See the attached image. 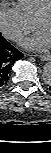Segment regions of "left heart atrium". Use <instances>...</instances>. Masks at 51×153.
<instances>
[{
  "label": "left heart atrium",
  "mask_w": 51,
  "mask_h": 153,
  "mask_svg": "<svg viewBox=\"0 0 51 153\" xmlns=\"http://www.w3.org/2000/svg\"><path fill=\"white\" fill-rule=\"evenodd\" d=\"M50 35L44 30H39L35 34L24 38L21 44L31 50H42L49 46Z\"/></svg>",
  "instance_id": "39dd6f15"
}]
</instances>
